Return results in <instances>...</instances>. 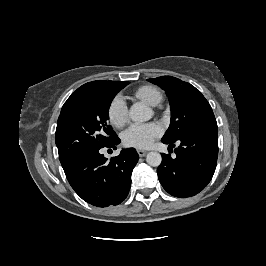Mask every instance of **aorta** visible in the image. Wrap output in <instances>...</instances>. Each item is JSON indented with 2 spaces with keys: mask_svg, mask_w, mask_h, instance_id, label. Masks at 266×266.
Listing matches in <instances>:
<instances>
[{
  "mask_svg": "<svg viewBox=\"0 0 266 266\" xmlns=\"http://www.w3.org/2000/svg\"><path fill=\"white\" fill-rule=\"evenodd\" d=\"M129 117L134 122H145L151 119L152 110L141 102L133 104L129 110ZM162 157L158 152H149L146 156V162L150 166L157 167L161 164Z\"/></svg>",
  "mask_w": 266,
  "mask_h": 266,
  "instance_id": "1",
  "label": "aorta"
}]
</instances>
